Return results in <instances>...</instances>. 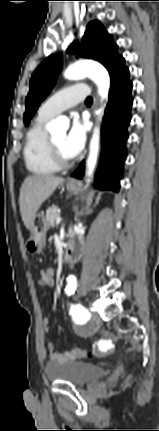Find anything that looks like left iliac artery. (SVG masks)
<instances>
[{"mask_svg": "<svg viewBox=\"0 0 159 431\" xmlns=\"http://www.w3.org/2000/svg\"><path fill=\"white\" fill-rule=\"evenodd\" d=\"M76 286H77V281L75 278L68 279V286L66 288L67 290L66 293L68 295L73 294L74 291L76 290ZM70 314L72 315L73 319L79 323H84L91 316L88 310L80 304L71 305Z\"/></svg>", "mask_w": 159, "mask_h": 431, "instance_id": "obj_1", "label": "left iliac artery"}]
</instances>
